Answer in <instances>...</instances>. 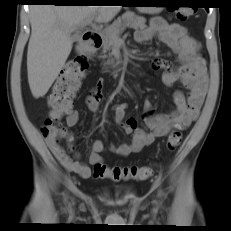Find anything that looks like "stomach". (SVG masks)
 Instances as JSON below:
<instances>
[{"label":"stomach","mask_w":231,"mask_h":231,"mask_svg":"<svg viewBox=\"0 0 231 231\" xmlns=\"http://www.w3.org/2000/svg\"><path fill=\"white\" fill-rule=\"evenodd\" d=\"M140 4H159L160 1L157 0H141L138 1ZM138 11L141 13H149V14H155L159 13L163 8L162 7H137Z\"/></svg>","instance_id":"0dacf381"}]
</instances>
